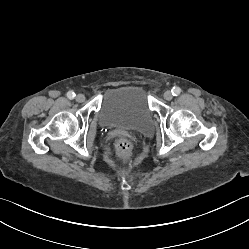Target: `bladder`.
Instances as JSON below:
<instances>
[{
	"instance_id": "bladder-1",
	"label": "bladder",
	"mask_w": 249,
	"mask_h": 249,
	"mask_svg": "<svg viewBox=\"0 0 249 249\" xmlns=\"http://www.w3.org/2000/svg\"><path fill=\"white\" fill-rule=\"evenodd\" d=\"M98 122L104 128L149 133L152 130L153 112L142 88L121 85L103 93Z\"/></svg>"
}]
</instances>
